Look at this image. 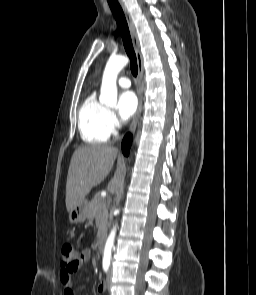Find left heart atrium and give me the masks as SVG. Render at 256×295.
Here are the masks:
<instances>
[{
	"label": "left heart atrium",
	"mask_w": 256,
	"mask_h": 295,
	"mask_svg": "<svg viewBox=\"0 0 256 295\" xmlns=\"http://www.w3.org/2000/svg\"><path fill=\"white\" fill-rule=\"evenodd\" d=\"M137 108V98L132 91L123 92L119 97L118 114L122 121L129 120Z\"/></svg>",
	"instance_id": "left-heart-atrium-1"
}]
</instances>
